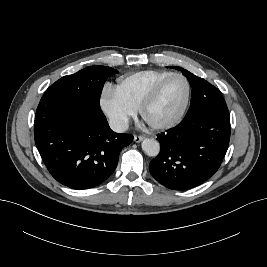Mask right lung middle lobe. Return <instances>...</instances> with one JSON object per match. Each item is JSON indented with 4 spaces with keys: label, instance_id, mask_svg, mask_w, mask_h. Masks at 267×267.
Here are the masks:
<instances>
[{
    "label": "right lung middle lobe",
    "instance_id": "dd1d6c3e",
    "mask_svg": "<svg viewBox=\"0 0 267 267\" xmlns=\"http://www.w3.org/2000/svg\"><path fill=\"white\" fill-rule=\"evenodd\" d=\"M118 71L107 66H90L52 84L43 96H52L100 109V96L108 77Z\"/></svg>",
    "mask_w": 267,
    "mask_h": 267
}]
</instances>
